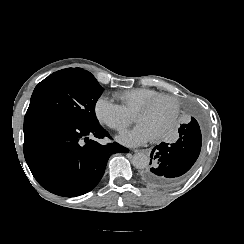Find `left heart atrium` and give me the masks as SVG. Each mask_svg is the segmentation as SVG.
Instances as JSON below:
<instances>
[{"label": "left heart atrium", "mask_w": 244, "mask_h": 244, "mask_svg": "<svg viewBox=\"0 0 244 244\" xmlns=\"http://www.w3.org/2000/svg\"><path fill=\"white\" fill-rule=\"evenodd\" d=\"M159 138L148 127L139 125L135 130L126 133L120 138V141L129 146L143 144L147 141Z\"/></svg>", "instance_id": "1"}]
</instances>
